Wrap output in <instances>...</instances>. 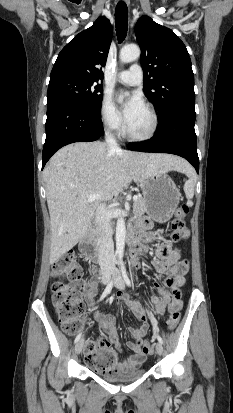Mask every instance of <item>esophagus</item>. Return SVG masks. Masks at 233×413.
<instances>
[{
	"label": "esophagus",
	"instance_id": "esophagus-1",
	"mask_svg": "<svg viewBox=\"0 0 233 413\" xmlns=\"http://www.w3.org/2000/svg\"><path fill=\"white\" fill-rule=\"evenodd\" d=\"M127 4L129 3V0H124Z\"/></svg>",
	"mask_w": 233,
	"mask_h": 413
}]
</instances>
